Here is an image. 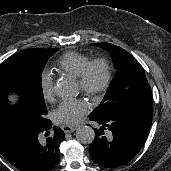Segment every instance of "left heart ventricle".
<instances>
[{
	"mask_svg": "<svg viewBox=\"0 0 171 171\" xmlns=\"http://www.w3.org/2000/svg\"><path fill=\"white\" fill-rule=\"evenodd\" d=\"M103 78V70L100 66H97L92 71V81L94 84H99ZM79 85V83H78ZM80 87V86H79Z\"/></svg>",
	"mask_w": 171,
	"mask_h": 171,
	"instance_id": "obj_1",
	"label": "left heart ventricle"
}]
</instances>
